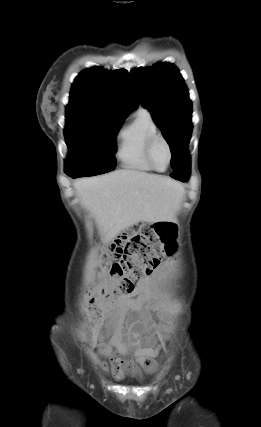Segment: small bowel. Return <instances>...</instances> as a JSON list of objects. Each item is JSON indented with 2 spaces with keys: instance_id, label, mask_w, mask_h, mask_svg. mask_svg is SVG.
I'll list each match as a JSON object with an SVG mask.
<instances>
[{
  "instance_id": "c3829d8e",
  "label": "small bowel",
  "mask_w": 261,
  "mask_h": 427,
  "mask_svg": "<svg viewBox=\"0 0 261 427\" xmlns=\"http://www.w3.org/2000/svg\"><path fill=\"white\" fill-rule=\"evenodd\" d=\"M131 306L130 300L124 299L120 305L118 314V323L112 336V345L119 354H126L132 350L135 361L143 366L147 371L155 369L154 359L158 355L161 344H158L159 334L162 330L154 323L149 314L142 309L136 307L129 321V341H122V321L126 311ZM146 336V345L143 344L141 338ZM112 352L111 348H105L103 354L109 355ZM112 368L119 373L121 362L118 359H112Z\"/></svg>"
}]
</instances>
